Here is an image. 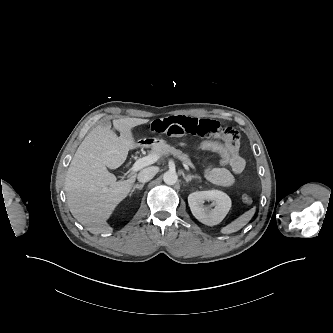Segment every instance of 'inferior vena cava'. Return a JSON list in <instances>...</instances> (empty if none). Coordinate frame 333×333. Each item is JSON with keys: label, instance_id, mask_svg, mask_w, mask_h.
Returning a JSON list of instances; mask_svg holds the SVG:
<instances>
[{"label": "inferior vena cava", "instance_id": "inferior-vena-cava-1", "mask_svg": "<svg viewBox=\"0 0 333 333\" xmlns=\"http://www.w3.org/2000/svg\"><path fill=\"white\" fill-rule=\"evenodd\" d=\"M157 173V169L155 167H148L143 169L138 174V181L141 183L148 182L151 180Z\"/></svg>", "mask_w": 333, "mask_h": 333}]
</instances>
